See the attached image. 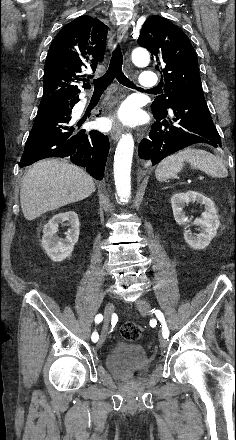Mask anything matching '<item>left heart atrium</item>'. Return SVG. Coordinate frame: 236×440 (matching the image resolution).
<instances>
[{
	"instance_id": "1",
	"label": "left heart atrium",
	"mask_w": 236,
	"mask_h": 440,
	"mask_svg": "<svg viewBox=\"0 0 236 440\" xmlns=\"http://www.w3.org/2000/svg\"><path fill=\"white\" fill-rule=\"evenodd\" d=\"M118 117L125 122L131 121L133 119V111L129 106H124L118 112Z\"/></svg>"
}]
</instances>
